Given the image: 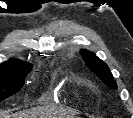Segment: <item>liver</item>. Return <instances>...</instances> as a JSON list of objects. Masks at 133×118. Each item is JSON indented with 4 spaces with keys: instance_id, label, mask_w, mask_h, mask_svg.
I'll use <instances>...</instances> for the list:
<instances>
[{
    "instance_id": "1",
    "label": "liver",
    "mask_w": 133,
    "mask_h": 118,
    "mask_svg": "<svg viewBox=\"0 0 133 118\" xmlns=\"http://www.w3.org/2000/svg\"><path fill=\"white\" fill-rule=\"evenodd\" d=\"M77 113L57 107H36L12 115L0 112L2 118H74Z\"/></svg>"
}]
</instances>
